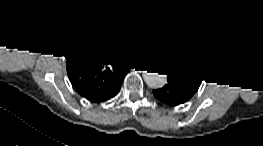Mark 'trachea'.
I'll list each match as a JSON object with an SVG mask.
<instances>
[{
  "mask_svg": "<svg viewBox=\"0 0 263 146\" xmlns=\"http://www.w3.org/2000/svg\"><path fill=\"white\" fill-rule=\"evenodd\" d=\"M116 58L118 61L129 64L130 66H135L139 64V62L136 59V56L133 53L128 52V51H123L117 54Z\"/></svg>",
  "mask_w": 263,
  "mask_h": 146,
  "instance_id": "trachea-1",
  "label": "trachea"
}]
</instances>
